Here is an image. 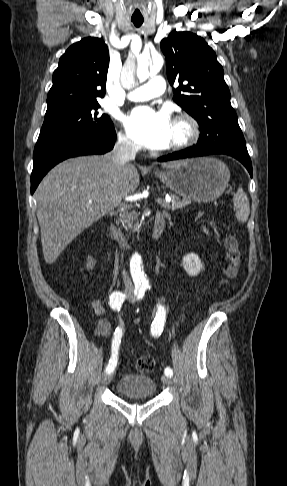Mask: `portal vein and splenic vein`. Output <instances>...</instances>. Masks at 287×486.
Instances as JSON below:
<instances>
[{"mask_svg": "<svg viewBox=\"0 0 287 486\" xmlns=\"http://www.w3.org/2000/svg\"><path fill=\"white\" fill-rule=\"evenodd\" d=\"M126 201H132L133 198L132 197H126L125 198ZM156 202L161 205L162 207L166 208L169 203L171 202V199L170 198H165V199H162V198H156Z\"/></svg>", "mask_w": 287, "mask_h": 486, "instance_id": "1", "label": "portal vein and splenic vein"}]
</instances>
